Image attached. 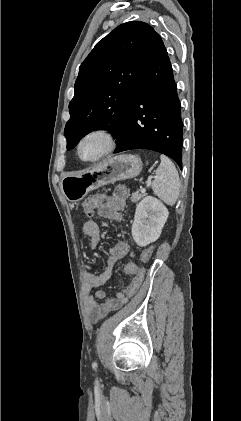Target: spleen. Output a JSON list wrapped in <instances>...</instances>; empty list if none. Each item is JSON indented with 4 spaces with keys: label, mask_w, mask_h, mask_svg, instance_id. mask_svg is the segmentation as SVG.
<instances>
[{
    "label": "spleen",
    "mask_w": 241,
    "mask_h": 421,
    "mask_svg": "<svg viewBox=\"0 0 241 421\" xmlns=\"http://www.w3.org/2000/svg\"><path fill=\"white\" fill-rule=\"evenodd\" d=\"M161 163L156 170V177L151 187L156 196L169 206H173L180 191V180L178 172L172 161L164 156H160Z\"/></svg>",
    "instance_id": "spleen-1"
}]
</instances>
